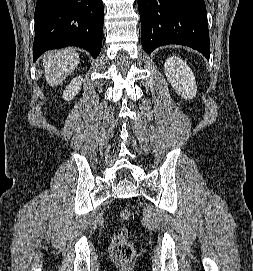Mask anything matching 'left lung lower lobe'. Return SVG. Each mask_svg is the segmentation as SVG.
Here are the masks:
<instances>
[{
	"mask_svg": "<svg viewBox=\"0 0 253 271\" xmlns=\"http://www.w3.org/2000/svg\"><path fill=\"white\" fill-rule=\"evenodd\" d=\"M141 42L151 53L165 44H181L210 56L204 0H137Z\"/></svg>",
	"mask_w": 253,
	"mask_h": 271,
	"instance_id": "1",
	"label": "left lung lower lobe"
}]
</instances>
